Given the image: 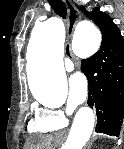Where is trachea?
Returning <instances> with one entry per match:
<instances>
[{
	"label": "trachea",
	"mask_w": 124,
	"mask_h": 149,
	"mask_svg": "<svg viewBox=\"0 0 124 149\" xmlns=\"http://www.w3.org/2000/svg\"><path fill=\"white\" fill-rule=\"evenodd\" d=\"M48 2L57 15H59L63 19L66 18L67 8L62 0H48ZM67 53L68 55H70L69 52Z\"/></svg>",
	"instance_id": "trachea-1"
}]
</instances>
